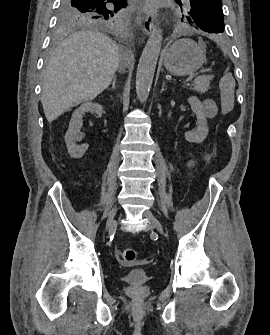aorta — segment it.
<instances>
[{"instance_id": "obj_1", "label": "aorta", "mask_w": 270, "mask_h": 335, "mask_svg": "<svg viewBox=\"0 0 270 335\" xmlns=\"http://www.w3.org/2000/svg\"><path fill=\"white\" fill-rule=\"evenodd\" d=\"M162 30H153L139 60L136 74V94L145 102L152 86L154 72L161 50Z\"/></svg>"}]
</instances>
